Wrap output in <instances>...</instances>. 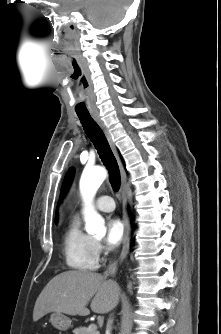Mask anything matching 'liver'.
Returning a JSON list of instances; mask_svg holds the SVG:
<instances>
[{
	"label": "liver",
	"instance_id": "1",
	"mask_svg": "<svg viewBox=\"0 0 221 334\" xmlns=\"http://www.w3.org/2000/svg\"><path fill=\"white\" fill-rule=\"evenodd\" d=\"M119 285L105 276L87 271H66L56 275L44 287L36 300L33 321L50 312L86 316L90 308L94 313L105 314L118 303Z\"/></svg>",
	"mask_w": 221,
	"mask_h": 334
}]
</instances>
